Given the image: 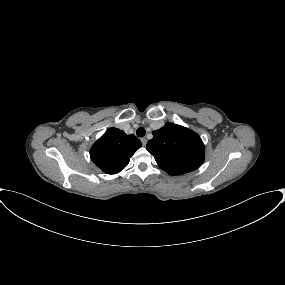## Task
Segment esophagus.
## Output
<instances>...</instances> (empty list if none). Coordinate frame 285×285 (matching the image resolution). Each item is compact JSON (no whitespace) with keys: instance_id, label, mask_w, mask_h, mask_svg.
<instances>
[{"instance_id":"1","label":"esophagus","mask_w":285,"mask_h":285,"mask_svg":"<svg viewBox=\"0 0 285 285\" xmlns=\"http://www.w3.org/2000/svg\"><path fill=\"white\" fill-rule=\"evenodd\" d=\"M141 142L143 146H146L147 144V139L146 138H141Z\"/></svg>"}]
</instances>
